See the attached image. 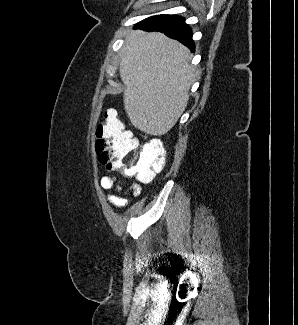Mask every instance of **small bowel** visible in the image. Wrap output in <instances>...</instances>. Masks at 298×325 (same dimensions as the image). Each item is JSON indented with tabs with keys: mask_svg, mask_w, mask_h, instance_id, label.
Masks as SVG:
<instances>
[{
	"mask_svg": "<svg viewBox=\"0 0 298 325\" xmlns=\"http://www.w3.org/2000/svg\"><path fill=\"white\" fill-rule=\"evenodd\" d=\"M100 184L104 189H116L117 193L109 194L107 197L108 201L116 208H122L127 205V194H131L133 197H138L142 193V188L139 184H133L129 189L125 190L121 186L117 185L115 178L108 175L101 177Z\"/></svg>",
	"mask_w": 298,
	"mask_h": 325,
	"instance_id": "small-bowel-1",
	"label": "small bowel"
}]
</instances>
